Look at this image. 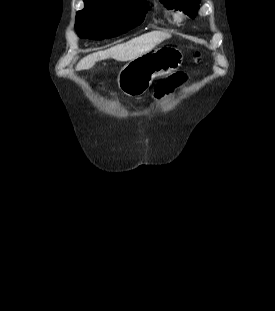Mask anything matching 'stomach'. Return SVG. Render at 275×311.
<instances>
[{
    "label": "stomach",
    "instance_id": "obj_1",
    "mask_svg": "<svg viewBox=\"0 0 275 311\" xmlns=\"http://www.w3.org/2000/svg\"><path fill=\"white\" fill-rule=\"evenodd\" d=\"M183 63L182 52L175 47H159L129 61L119 72V89L128 96H140L159 75L176 71Z\"/></svg>",
    "mask_w": 275,
    "mask_h": 311
}]
</instances>
